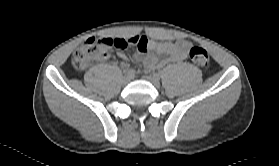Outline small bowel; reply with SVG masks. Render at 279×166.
Masks as SVG:
<instances>
[{
    "label": "small bowel",
    "mask_w": 279,
    "mask_h": 166,
    "mask_svg": "<svg viewBox=\"0 0 279 166\" xmlns=\"http://www.w3.org/2000/svg\"><path fill=\"white\" fill-rule=\"evenodd\" d=\"M130 44L137 46L135 59L142 62L146 71L165 66L170 62L181 61L187 57L191 43L187 40L175 42H161L146 36H133ZM155 54L164 55L166 58L159 59ZM121 59L126 56L123 52H118Z\"/></svg>",
    "instance_id": "small-bowel-1"
}]
</instances>
